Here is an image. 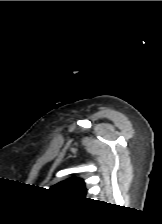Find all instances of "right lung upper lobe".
Listing matches in <instances>:
<instances>
[{
  "mask_svg": "<svg viewBox=\"0 0 162 224\" xmlns=\"http://www.w3.org/2000/svg\"><path fill=\"white\" fill-rule=\"evenodd\" d=\"M52 189L69 193L77 197H85L86 189L83 180L78 178H70L53 186Z\"/></svg>",
  "mask_w": 162,
  "mask_h": 224,
  "instance_id": "obj_1",
  "label": "right lung upper lobe"
}]
</instances>
